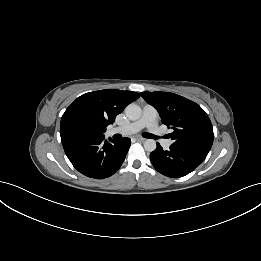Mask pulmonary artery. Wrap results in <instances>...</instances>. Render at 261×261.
<instances>
[{
    "label": "pulmonary artery",
    "instance_id": "1",
    "mask_svg": "<svg viewBox=\"0 0 261 261\" xmlns=\"http://www.w3.org/2000/svg\"><path fill=\"white\" fill-rule=\"evenodd\" d=\"M143 128H147L151 133L159 137V140L164 148H169L172 144L170 139L163 137L158 125V114L156 109L151 105H145L140 119L131 122L122 127L111 129L110 133H119L122 135H131Z\"/></svg>",
    "mask_w": 261,
    "mask_h": 261
}]
</instances>
